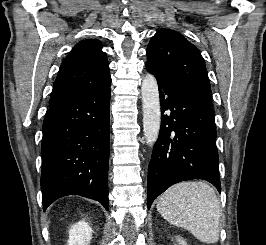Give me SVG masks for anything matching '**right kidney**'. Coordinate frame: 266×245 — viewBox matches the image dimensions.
Returning <instances> with one entry per match:
<instances>
[{
    "label": "right kidney",
    "mask_w": 266,
    "mask_h": 245,
    "mask_svg": "<svg viewBox=\"0 0 266 245\" xmlns=\"http://www.w3.org/2000/svg\"><path fill=\"white\" fill-rule=\"evenodd\" d=\"M75 245H89L92 239V229L85 221H79L74 225Z\"/></svg>",
    "instance_id": "ca27d5eb"
}]
</instances>
